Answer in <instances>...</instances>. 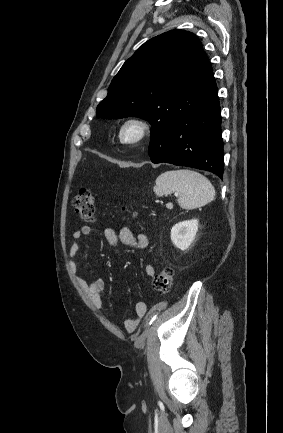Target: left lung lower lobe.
Segmentation results:
<instances>
[{
  "label": "left lung lower lobe",
  "instance_id": "1",
  "mask_svg": "<svg viewBox=\"0 0 283 433\" xmlns=\"http://www.w3.org/2000/svg\"><path fill=\"white\" fill-rule=\"evenodd\" d=\"M198 97L199 105L192 114L153 129L148 150L150 160L207 170L222 178L220 106L210 62L201 75Z\"/></svg>",
  "mask_w": 283,
  "mask_h": 433
}]
</instances>
